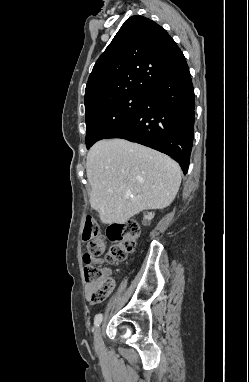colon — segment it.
Wrapping results in <instances>:
<instances>
[{"mask_svg": "<svg viewBox=\"0 0 249 382\" xmlns=\"http://www.w3.org/2000/svg\"><path fill=\"white\" fill-rule=\"evenodd\" d=\"M97 221L87 216L83 223L82 238L87 241V253L84 254L85 279L90 288L89 300L101 302L108 297L114 289L113 279L107 277L104 269L98 265V257L105 250V240L98 235ZM140 235V226L135 221L116 223L108 229V239L112 242L107 255L108 262L125 261L136 247Z\"/></svg>", "mask_w": 249, "mask_h": 382, "instance_id": "1", "label": "colon"}]
</instances>
